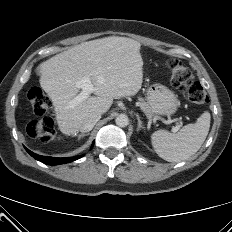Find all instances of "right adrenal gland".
<instances>
[{
    "label": "right adrenal gland",
    "mask_w": 232,
    "mask_h": 232,
    "mask_svg": "<svg viewBox=\"0 0 232 232\" xmlns=\"http://www.w3.org/2000/svg\"><path fill=\"white\" fill-rule=\"evenodd\" d=\"M89 135V133H82L78 135V140H80L82 137Z\"/></svg>",
    "instance_id": "right-adrenal-gland-1"
}]
</instances>
